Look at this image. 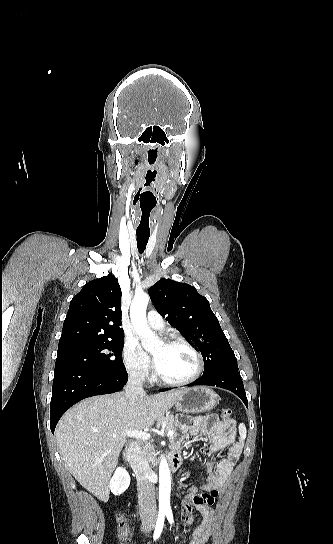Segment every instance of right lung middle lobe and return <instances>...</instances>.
Returning <instances> with one entry per match:
<instances>
[{"label": "right lung middle lobe", "mask_w": 333, "mask_h": 544, "mask_svg": "<svg viewBox=\"0 0 333 544\" xmlns=\"http://www.w3.org/2000/svg\"><path fill=\"white\" fill-rule=\"evenodd\" d=\"M123 339L121 336L59 348L55 364L72 363L100 373L127 377L122 361Z\"/></svg>", "instance_id": "obj_1"}]
</instances>
